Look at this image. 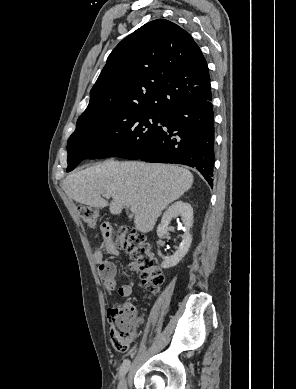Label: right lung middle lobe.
<instances>
[{
	"instance_id": "1",
	"label": "right lung middle lobe",
	"mask_w": 296,
	"mask_h": 389,
	"mask_svg": "<svg viewBox=\"0 0 296 389\" xmlns=\"http://www.w3.org/2000/svg\"><path fill=\"white\" fill-rule=\"evenodd\" d=\"M137 108H115L79 118L68 140L67 172L84 159L118 156L137 159L161 128L164 117Z\"/></svg>"
}]
</instances>
